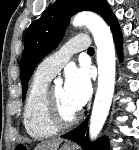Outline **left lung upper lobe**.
I'll use <instances>...</instances> for the list:
<instances>
[{
    "instance_id": "obj_1",
    "label": "left lung upper lobe",
    "mask_w": 139,
    "mask_h": 150,
    "mask_svg": "<svg viewBox=\"0 0 139 150\" xmlns=\"http://www.w3.org/2000/svg\"><path fill=\"white\" fill-rule=\"evenodd\" d=\"M84 10L96 12L105 19L110 7L105 0H56L28 27L25 33V48L20 60L23 99L35 67L58 46L70 17Z\"/></svg>"
}]
</instances>
